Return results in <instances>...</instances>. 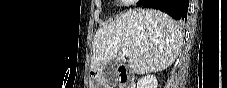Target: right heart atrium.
<instances>
[{
	"label": "right heart atrium",
	"mask_w": 227,
	"mask_h": 88,
	"mask_svg": "<svg viewBox=\"0 0 227 88\" xmlns=\"http://www.w3.org/2000/svg\"><path fill=\"white\" fill-rule=\"evenodd\" d=\"M123 3H125L126 5H132L134 4L135 0H123Z\"/></svg>",
	"instance_id": "1"
}]
</instances>
